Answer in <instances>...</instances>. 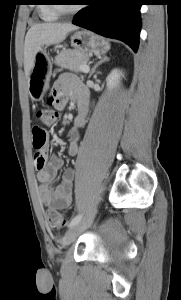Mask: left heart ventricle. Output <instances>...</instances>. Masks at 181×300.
<instances>
[{
    "label": "left heart ventricle",
    "mask_w": 181,
    "mask_h": 300,
    "mask_svg": "<svg viewBox=\"0 0 181 300\" xmlns=\"http://www.w3.org/2000/svg\"><path fill=\"white\" fill-rule=\"evenodd\" d=\"M66 8H71L72 5L71 4H63Z\"/></svg>",
    "instance_id": "obj_1"
}]
</instances>
